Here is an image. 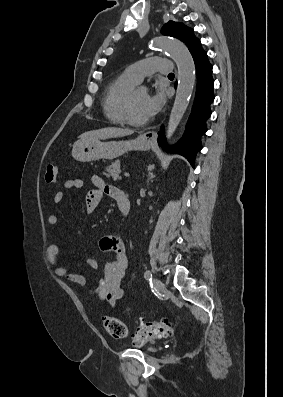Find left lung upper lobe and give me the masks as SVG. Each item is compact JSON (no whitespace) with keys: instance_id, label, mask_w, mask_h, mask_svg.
<instances>
[{"instance_id":"obj_1","label":"left lung upper lobe","mask_w":283,"mask_h":397,"mask_svg":"<svg viewBox=\"0 0 283 397\" xmlns=\"http://www.w3.org/2000/svg\"><path fill=\"white\" fill-rule=\"evenodd\" d=\"M162 34L181 40L189 50L200 43V40L194 35V30L179 22L169 21L163 26Z\"/></svg>"}]
</instances>
